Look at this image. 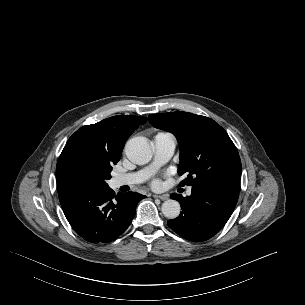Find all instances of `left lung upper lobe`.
<instances>
[{
    "label": "left lung upper lobe",
    "instance_id": "obj_1",
    "mask_svg": "<svg viewBox=\"0 0 305 305\" xmlns=\"http://www.w3.org/2000/svg\"><path fill=\"white\" fill-rule=\"evenodd\" d=\"M150 123L175 135L180 146V185L241 178V160L227 132L214 120L188 112L150 114Z\"/></svg>",
    "mask_w": 305,
    "mask_h": 305
}]
</instances>
